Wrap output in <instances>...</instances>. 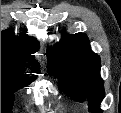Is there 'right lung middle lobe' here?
<instances>
[{
	"label": "right lung middle lobe",
	"mask_w": 121,
	"mask_h": 113,
	"mask_svg": "<svg viewBox=\"0 0 121 113\" xmlns=\"http://www.w3.org/2000/svg\"><path fill=\"white\" fill-rule=\"evenodd\" d=\"M27 82L20 71L1 65V113H12L14 92Z\"/></svg>",
	"instance_id": "dd1d6c3e"
}]
</instances>
